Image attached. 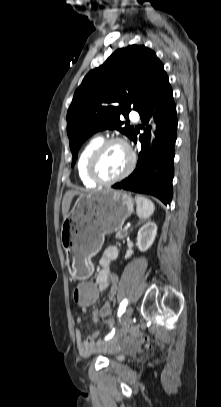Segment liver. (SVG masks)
I'll return each mask as SVG.
<instances>
[{
    "label": "liver",
    "mask_w": 221,
    "mask_h": 407,
    "mask_svg": "<svg viewBox=\"0 0 221 407\" xmlns=\"http://www.w3.org/2000/svg\"><path fill=\"white\" fill-rule=\"evenodd\" d=\"M80 193L77 191H67L63 197L62 200V214H63V218L66 219L68 216V212L70 209V205L72 202V199L74 198V196L79 195Z\"/></svg>",
    "instance_id": "6515ba94"
}]
</instances>
